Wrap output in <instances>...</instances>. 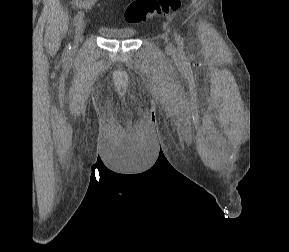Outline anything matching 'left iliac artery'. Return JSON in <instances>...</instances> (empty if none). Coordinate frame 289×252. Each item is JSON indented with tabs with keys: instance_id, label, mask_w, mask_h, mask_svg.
I'll use <instances>...</instances> for the list:
<instances>
[{
	"instance_id": "44dca946",
	"label": "left iliac artery",
	"mask_w": 289,
	"mask_h": 252,
	"mask_svg": "<svg viewBox=\"0 0 289 252\" xmlns=\"http://www.w3.org/2000/svg\"><path fill=\"white\" fill-rule=\"evenodd\" d=\"M175 39H176L177 44H178L179 46H181L182 43H183V41H182V38H181V36L179 35L178 32H175Z\"/></svg>"
}]
</instances>
